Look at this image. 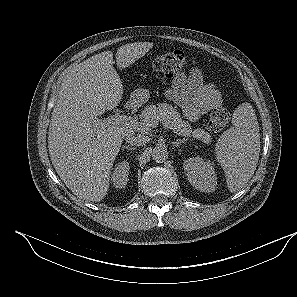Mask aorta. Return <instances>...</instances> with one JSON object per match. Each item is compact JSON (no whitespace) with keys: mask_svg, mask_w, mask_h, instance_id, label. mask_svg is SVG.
Returning <instances> with one entry per match:
<instances>
[{"mask_svg":"<svg viewBox=\"0 0 297 297\" xmlns=\"http://www.w3.org/2000/svg\"><path fill=\"white\" fill-rule=\"evenodd\" d=\"M152 159L157 163H162L168 158V151L165 147L159 146L152 150Z\"/></svg>","mask_w":297,"mask_h":297,"instance_id":"obj_1","label":"aorta"}]
</instances>
